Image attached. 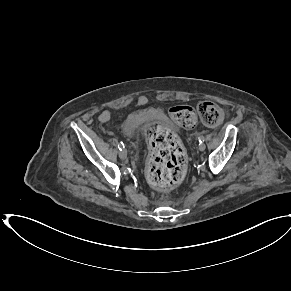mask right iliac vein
I'll return each instance as SVG.
<instances>
[{"mask_svg": "<svg viewBox=\"0 0 291 291\" xmlns=\"http://www.w3.org/2000/svg\"><path fill=\"white\" fill-rule=\"evenodd\" d=\"M119 157L122 159V160H126L127 159V151H126V149H122V150H120V152H119Z\"/></svg>", "mask_w": 291, "mask_h": 291, "instance_id": "obj_1", "label": "right iliac vein"}]
</instances>
